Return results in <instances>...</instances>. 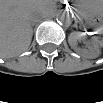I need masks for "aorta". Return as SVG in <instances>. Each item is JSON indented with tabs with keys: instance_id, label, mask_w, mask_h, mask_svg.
Listing matches in <instances>:
<instances>
[{
	"instance_id": "aorta-1",
	"label": "aorta",
	"mask_w": 103,
	"mask_h": 103,
	"mask_svg": "<svg viewBox=\"0 0 103 103\" xmlns=\"http://www.w3.org/2000/svg\"><path fill=\"white\" fill-rule=\"evenodd\" d=\"M56 20L61 26H69L72 23L71 13L67 10H60L56 15Z\"/></svg>"
}]
</instances>
